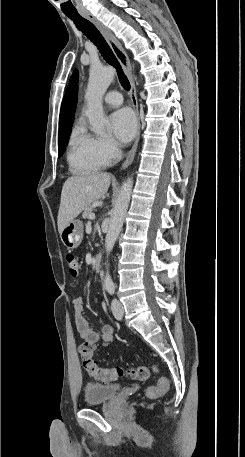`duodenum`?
I'll return each mask as SVG.
<instances>
[{
    "instance_id": "1",
    "label": "duodenum",
    "mask_w": 245,
    "mask_h": 457,
    "mask_svg": "<svg viewBox=\"0 0 245 457\" xmlns=\"http://www.w3.org/2000/svg\"><path fill=\"white\" fill-rule=\"evenodd\" d=\"M93 266L96 270H99L102 266V256L96 255L93 259Z\"/></svg>"
}]
</instances>
